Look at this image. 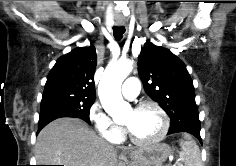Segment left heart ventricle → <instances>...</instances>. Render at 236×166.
I'll use <instances>...</instances> for the list:
<instances>
[{
    "instance_id": "1",
    "label": "left heart ventricle",
    "mask_w": 236,
    "mask_h": 166,
    "mask_svg": "<svg viewBox=\"0 0 236 166\" xmlns=\"http://www.w3.org/2000/svg\"><path fill=\"white\" fill-rule=\"evenodd\" d=\"M123 124L138 139L149 140L160 133L162 119L154 108H145L138 112L131 110L126 115Z\"/></svg>"
}]
</instances>
